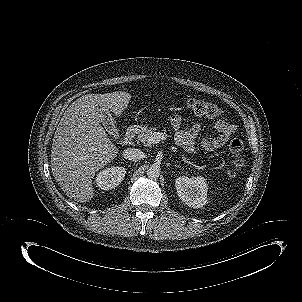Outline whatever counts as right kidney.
Here are the masks:
<instances>
[{"label": "right kidney", "mask_w": 302, "mask_h": 302, "mask_svg": "<svg viewBox=\"0 0 302 302\" xmlns=\"http://www.w3.org/2000/svg\"><path fill=\"white\" fill-rule=\"evenodd\" d=\"M125 176V168L117 167L114 170H105L96 177V184L102 190H111L118 186Z\"/></svg>", "instance_id": "1"}]
</instances>
